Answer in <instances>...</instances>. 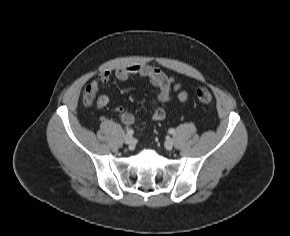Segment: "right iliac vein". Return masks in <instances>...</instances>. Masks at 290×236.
Wrapping results in <instances>:
<instances>
[{"instance_id":"1","label":"right iliac vein","mask_w":290,"mask_h":236,"mask_svg":"<svg viewBox=\"0 0 290 236\" xmlns=\"http://www.w3.org/2000/svg\"><path fill=\"white\" fill-rule=\"evenodd\" d=\"M124 142L130 147H134V138L131 135H126L124 137Z\"/></svg>"}]
</instances>
